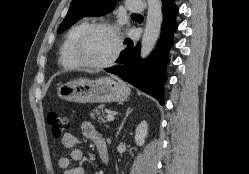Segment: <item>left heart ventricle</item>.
I'll use <instances>...</instances> for the list:
<instances>
[{
  "label": "left heart ventricle",
  "instance_id": "b2bd125f",
  "mask_svg": "<svg viewBox=\"0 0 249 174\" xmlns=\"http://www.w3.org/2000/svg\"><path fill=\"white\" fill-rule=\"evenodd\" d=\"M116 48L114 35L104 29L92 31L84 40L81 55L89 63L98 64L107 61Z\"/></svg>",
  "mask_w": 249,
  "mask_h": 174
}]
</instances>
